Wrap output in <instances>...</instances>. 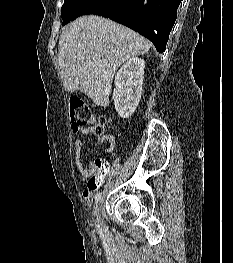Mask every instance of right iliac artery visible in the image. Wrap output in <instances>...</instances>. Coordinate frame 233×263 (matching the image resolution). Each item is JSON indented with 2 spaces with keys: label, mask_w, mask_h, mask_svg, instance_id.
Instances as JSON below:
<instances>
[{
  "label": "right iliac artery",
  "mask_w": 233,
  "mask_h": 263,
  "mask_svg": "<svg viewBox=\"0 0 233 263\" xmlns=\"http://www.w3.org/2000/svg\"><path fill=\"white\" fill-rule=\"evenodd\" d=\"M100 198H101V193L99 192V193H97V194L95 195V201H96V203H98V201L100 200Z\"/></svg>",
  "instance_id": "82829eb1"
}]
</instances>
